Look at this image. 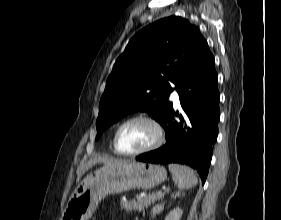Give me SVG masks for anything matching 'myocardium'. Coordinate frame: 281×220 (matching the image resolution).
<instances>
[{
  "mask_svg": "<svg viewBox=\"0 0 281 220\" xmlns=\"http://www.w3.org/2000/svg\"><path fill=\"white\" fill-rule=\"evenodd\" d=\"M135 121H145V122L150 123L155 128L156 138L153 141V143H151L149 146H147L143 149H140L138 151H134V152L121 151L118 146L119 134L126 125H128L132 122H135ZM164 141H165V133H164L162 125L160 124V122L158 120H156L154 117L149 116V115H135L133 117L126 119L118 126V128L115 132V135H114V139H113V147H114V150L116 151V153L123 155V156L133 157V156H138L141 154L151 152V151L159 148L164 143Z\"/></svg>",
  "mask_w": 281,
  "mask_h": 220,
  "instance_id": "1",
  "label": "myocardium"
}]
</instances>
